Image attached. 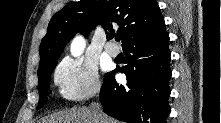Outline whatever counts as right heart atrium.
I'll list each match as a JSON object with an SVG mask.
<instances>
[{
    "instance_id": "right-heart-atrium-1",
    "label": "right heart atrium",
    "mask_w": 221,
    "mask_h": 123,
    "mask_svg": "<svg viewBox=\"0 0 221 123\" xmlns=\"http://www.w3.org/2000/svg\"><path fill=\"white\" fill-rule=\"evenodd\" d=\"M54 83L68 102L81 103L96 96L101 89L97 68L79 58H65L54 71Z\"/></svg>"
}]
</instances>
